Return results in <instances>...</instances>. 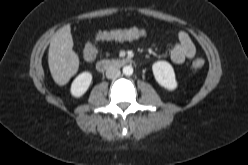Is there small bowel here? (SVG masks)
Segmentation results:
<instances>
[{
    "mask_svg": "<svg viewBox=\"0 0 248 165\" xmlns=\"http://www.w3.org/2000/svg\"><path fill=\"white\" fill-rule=\"evenodd\" d=\"M125 30L133 31L135 35L125 39H106V40H119V41L134 40L146 36L145 30L142 28H130ZM97 42H94V40L91 39L90 41H88L86 45H91V44L96 45ZM195 54H196V49L189 35L185 31H179L177 34V42L170 51V55H169L170 60L174 64H182L185 62V60L194 58Z\"/></svg>",
    "mask_w": 248,
    "mask_h": 165,
    "instance_id": "obj_1",
    "label": "small bowel"
}]
</instances>
